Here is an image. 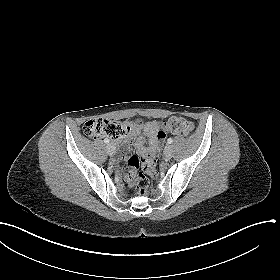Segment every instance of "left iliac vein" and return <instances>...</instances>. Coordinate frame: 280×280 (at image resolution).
I'll list each match as a JSON object with an SVG mask.
<instances>
[{
	"mask_svg": "<svg viewBox=\"0 0 280 280\" xmlns=\"http://www.w3.org/2000/svg\"><path fill=\"white\" fill-rule=\"evenodd\" d=\"M164 156H165V158H167V159L172 158V156H173V148H172L171 145H167V146L165 147V149H164Z\"/></svg>",
	"mask_w": 280,
	"mask_h": 280,
	"instance_id": "obj_1",
	"label": "left iliac vein"
}]
</instances>
